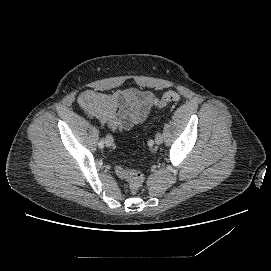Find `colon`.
<instances>
[{"label": "colon", "instance_id": "5ec220e1", "mask_svg": "<svg viewBox=\"0 0 271 271\" xmlns=\"http://www.w3.org/2000/svg\"><path fill=\"white\" fill-rule=\"evenodd\" d=\"M179 100V95L173 90L165 92L160 99L155 102L157 108H162L167 104L174 103ZM117 176L125 180L128 184L131 193H137L144 182V175L135 170H127L122 166H117L115 168Z\"/></svg>", "mask_w": 271, "mask_h": 271}]
</instances>
